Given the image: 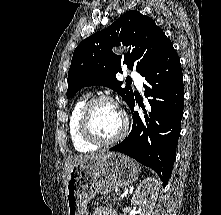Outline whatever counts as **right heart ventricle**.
Masks as SVG:
<instances>
[{
	"label": "right heart ventricle",
	"instance_id": "right-heart-ventricle-1",
	"mask_svg": "<svg viewBox=\"0 0 221 215\" xmlns=\"http://www.w3.org/2000/svg\"><path fill=\"white\" fill-rule=\"evenodd\" d=\"M89 99L90 97L88 95L78 98L71 109L68 120V130L73 147L76 151L82 153L91 152L97 148V145L91 144L83 139L79 131L80 112Z\"/></svg>",
	"mask_w": 221,
	"mask_h": 215
}]
</instances>
